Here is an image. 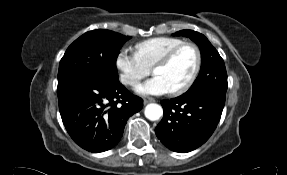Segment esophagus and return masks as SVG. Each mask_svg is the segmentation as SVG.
<instances>
[{"instance_id": "obj_1", "label": "esophagus", "mask_w": 287, "mask_h": 175, "mask_svg": "<svg viewBox=\"0 0 287 175\" xmlns=\"http://www.w3.org/2000/svg\"><path fill=\"white\" fill-rule=\"evenodd\" d=\"M154 100L152 99V98H148V99H144L143 100V102H144V104L146 105V104H148V103H150V102H153Z\"/></svg>"}]
</instances>
